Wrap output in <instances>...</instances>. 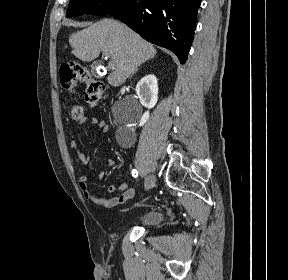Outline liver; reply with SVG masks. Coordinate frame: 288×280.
<instances>
[{
	"label": "liver",
	"mask_w": 288,
	"mask_h": 280,
	"mask_svg": "<svg viewBox=\"0 0 288 280\" xmlns=\"http://www.w3.org/2000/svg\"><path fill=\"white\" fill-rule=\"evenodd\" d=\"M69 43L72 54L82 61L96 59L101 51L108 53L115 65L107 78L113 87L122 85L138 66L157 53L151 43L114 19L100 20L73 33Z\"/></svg>",
	"instance_id": "6515ba94"
}]
</instances>
